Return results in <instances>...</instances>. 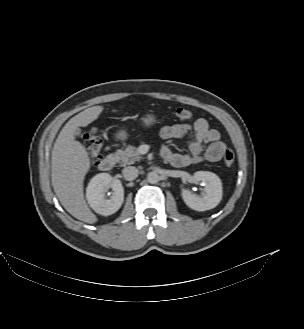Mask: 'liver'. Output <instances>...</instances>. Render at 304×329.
I'll return each mask as SVG.
<instances>
[{
  "label": "liver",
  "instance_id": "obj_1",
  "mask_svg": "<svg viewBox=\"0 0 304 329\" xmlns=\"http://www.w3.org/2000/svg\"><path fill=\"white\" fill-rule=\"evenodd\" d=\"M102 111V106H93L72 117L60 131L51 158L52 186L58 199L73 217L89 224L97 221L83 193L90 159L84 146L75 140V132L95 121Z\"/></svg>",
  "mask_w": 304,
  "mask_h": 329
}]
</instances>
